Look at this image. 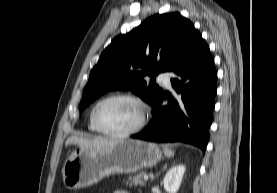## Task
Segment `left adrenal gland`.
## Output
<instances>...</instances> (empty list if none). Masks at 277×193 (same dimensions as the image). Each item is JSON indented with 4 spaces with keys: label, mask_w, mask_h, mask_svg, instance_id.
Segmentation results:
<instances>
[{
    "label": "left adrenal gland",
    "mask_w": 277,
    "mask_h": 193,
    "mask_svg": "<svg viewBox=\"0 0 277 193\" xmlns=\"http://www.w3.org/2000/svg\"><path fill=\"white\" fill-rule=\"evenodd\" d=\"M166 168H167V165H164L162 170H165ZM157 175H158V174H156V176H157ZM152 179H153V177H152Z\"/></svg>",
    "instance_id": "a2214340"
}]
</instances>
